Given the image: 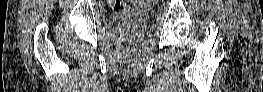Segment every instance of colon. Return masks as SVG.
Here are the masks:
<instances>
[{
	"label": "colon",
	"mask_w": 263,
	"mask_h": 92,
	"mask_svg": "<svg viewBox=\"0 0 263 92\" xmlns=\"http://www.w3.org/2000/svg\"><path fill=\"white\" fill-rule=\"evenodd\" d=\"M111 4L114 9L121 10L123 8L124 3L121 1H112Z\"/></svg>",
	"instance_id": "1"
}]
</instances>
